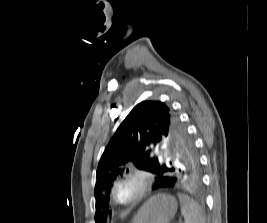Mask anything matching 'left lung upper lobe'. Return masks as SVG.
Wrapping results in <instances>:
<instances>
[{
	"mask_svg": "<svg viewBox=\"0 0 267 223\" xmlns=\"http://www.w3.org/2000/svg\"><path fill=\"white\" fill-rule=\"evenodd\" d=\"M161 147L163 153L157 154L155 148ZM128 162L154 174L200 171L193 141L174 111L160 101L141 102L120 124L100 159L95 186L96 223H103L110 212L106 195Z\"/></svg>",
	"mask_w": 267,
	"mask_h": 223,
	"instance_id": "left-lung-upper-lobe-1",
	"label": "left lung upper lobe"
}]
</instances>
